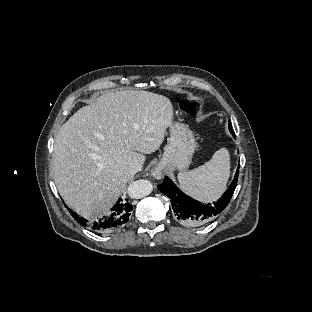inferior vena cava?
I'll list each match as a JSON object with an SVG mask.
<instances>
[{"label": "inferior vena cava", "mask_w": 312, "mask_h": 312, "mask_svg": "<svg viewBox=\"0 0 312 312\" xmlns=\"http://www.w3.org/2000/svg\"><path fill=\"white\" fill-rule=\"evenodd\" d=\"M142 165H143V162H142V161H139V160L134 161V162L130 165V167H129V173H130L131 175H135V173H136L137 171H141V170H142Z\"/></svg>", "instance_id": "inferior-vena-cava-1"}]
</instances>
